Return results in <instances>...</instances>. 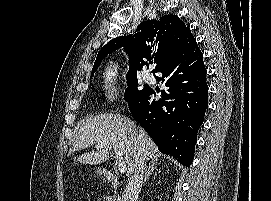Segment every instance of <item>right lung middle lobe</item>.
<instances>
[{
    "label": "right lung middle lobe",
    "instance_id": "obj_1",
    "mask_svg": "<svg viewBox=\"0 0 271 201\" xmlns=\"http://www.w3.org/2000/svg\"><path fill=\"white\" fill-rule=\"evenodd\" d=\"M127 89L125 91V100L129 101L131 98H133L136 95H140L144 92H146L149 88L144 87L143 89H138V80L137 75H127Z\"/></svg>",
    "mask_w": 271,
    "mask_h": 201
}]
</instances>
